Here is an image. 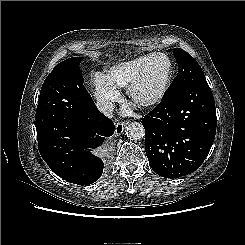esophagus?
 I'll return each mask as SVG.
<instances>
[{"mask_svg":"<svg viewBox=\"0 0 245 245\" xmlns=\"http://www.w3.org/2000/svg\"><path fill=\"white\" fill-rule=\"evenodd\" d=\"M128 124L127 121H124V122H118L116 124V129H115V135L116 136H119L123 133L124 131V128L126 127V125Z\"/></svg>","mask_w":245,"mask_h":245,"instance_id":"obj_1","label":"esophagus"}]
</instances>
